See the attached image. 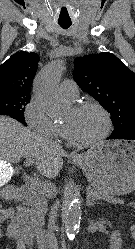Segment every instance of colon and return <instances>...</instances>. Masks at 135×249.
Wrapping results in <instances>:
<instances>
[{
  "label": "colon",
  "mask_w": 135,
  "mask_h": 249,
  "mask_svg": "<svg viewBox=\"0 0 135 249\" xmlns=\"http://www.w3.org/2000/svg\"><path fill=\"white\" fill-rule=\"evenodd\" d=\"M133 208L135 209V203H133ZM129 235L131 238L135 239V223L131 225Z\"/></svg>",
  "instance_id": "5ec220e1"
}]
</instances>
